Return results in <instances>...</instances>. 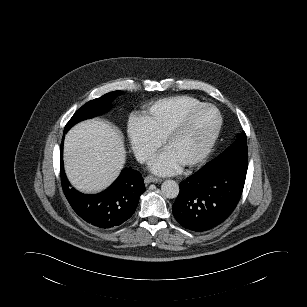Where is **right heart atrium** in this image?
Returning <instances> with one entry per match:
<instances>
[{"instance_id": "obj_1", "label": "right heart atrium", "mask_w": 307, "mask_h": 307, "mask_svg": "<svg viewBox=\"0 0 307 307\" xmlns=\"http://www.w3.org/2000/svg\"><path fill=\"white\" fill-rule=\"evenodd\" d=\"M127 135L133 153L141 162L150 161L161 145V140L152 134L142 118H130Z\"/></svg>"}]
</instances>
